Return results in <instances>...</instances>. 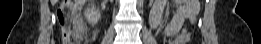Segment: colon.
<instances>
[{
	"label": "colon",
	"instance_id": "1",
	"mask_svg": "<svg viewBox=\"0 0 261 44\" xmlns=\"http://www.w3.org/2000/svg\"><path fill=\"white\" fill-rule=\"evenodd\" d=\"M188 2H191V3H196L198 2L197 0H187ZM66 4H70L72 1H64ZM64 10V8H63ZM61 19L63 21V18L61 16ZM186 32L185 31H182L180 32L178 35H176L175 37L172 38L171 40V44H184L185 41H186Z\"/></svg>",
	"mask_w": 261,
	"mask_h": 44
}]
</instances>
